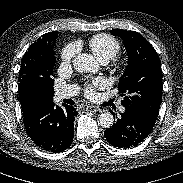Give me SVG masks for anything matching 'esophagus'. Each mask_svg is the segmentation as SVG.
Instances as JSON below:
<instances>
[{
	"mask_svg": "<svg viewBox=\"0 0 183 183\" xmlns=\"http://www.w3.org/2000/svg\"><path fill=\"white\" fill-rule=\"evenodd\" d=\"M85 109H88V110H91L93 112H97L99 111V108L95 107V106H92V105H87V106H84Z\"/></svg>",
	"mask_w": 183,
	"mask_h": 183,
	"instance_id": "34e87169",
	"label": "esophagus"
}]
</instances>
